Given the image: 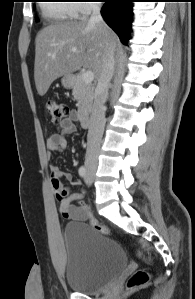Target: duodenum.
Instances as JSON below:
<instances>
[{
  "instance_id": "410a0bca",
  "label": "duodenum",
  "mask_w": 195,
  "mask_h": 299,
  "mask_svg": "<svg viewBox=\"0 0 195 299\" xmlns=\"http://www.w3.org/2000/svg\"><path fill=\"white\" fill-rule=\"evenodd\" d=\"M78 119L83 127H88L91 124V118L88 114L80 113Z\"/></svg>"
}]
</instances>
